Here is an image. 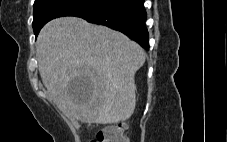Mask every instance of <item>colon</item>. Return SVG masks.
<instances>
[{
	"label": "colon",
	"instance_id": "5ec220e1",
	"mask_svg": "<svg viewBox=\"0 0 227 142\" xmlns=\"http://www.w3.org/2000/svg\"><path fill=\"white\" fill-rule=\"evenodd\" d=\"M126 125L123 123L100 130L91 142H128L125 134Z\"/></svg>",
	"mask_w": 227,
	"mask_h": 142
}]
</instances>
